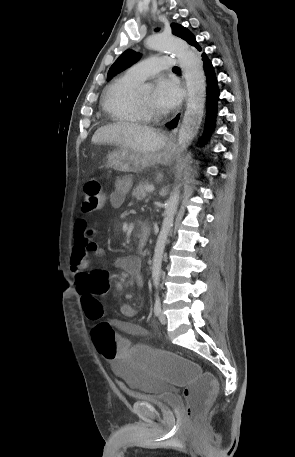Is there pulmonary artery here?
<instances>
[{"label":"pulmonary artery","mask_w":295,"mask_h":457,"mask_svg":"<svg viewBox=\"0 0 295 457\" xmlns=\"http://www.w3.org/2000/svg\"><path fill=\"white\" fill-rule=\"evenodd\" d=\"M176 60L170 56H153L132 66L126 75L141 82L154 76L161 70H168L175 66Z\"/></svg>","instance_id":"1"}]
</instances>
